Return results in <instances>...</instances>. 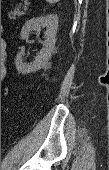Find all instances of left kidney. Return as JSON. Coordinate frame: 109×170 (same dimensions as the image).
<instances>
[{
  "mask_svg": "<svg viewBox=\"0 0 109 170\" xmlns=\"http://www.w3.org/2000/svg\"><path fill=\"white\" fill-rule=\"evenodd\" d=\"M41 27L46 28L43 47L35 60L29 64L22 62L21 53L17 54L15 65L19 73H31L45 67L54 52L58 29V16L55 14L40 16L26 21L20 33L21 39H27L32 31H40Z\"/></svg>",
  "mask_w": 109,
  "mask_h": 170,
  "instance_id": "5707ae66",
  "label": "left kidney"
}]
</instances>
